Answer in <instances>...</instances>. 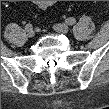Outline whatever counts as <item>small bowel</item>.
<instances>
[{
    "label": "small bowel",
    "instance_id": "obj_1",
    "mask_svg": "<svg viewBox=\"0 0 109 109\" xmlns=\"http://www.w3.org/2000/svg\"><path fill=\"white\" fill-rule=\"evenodd\" d=\"M37 6L41 9H47L52 6V1H37Z\"/></svg>",
    "mask_w": 109,
    "mask_h": 109
}]
</instances>
